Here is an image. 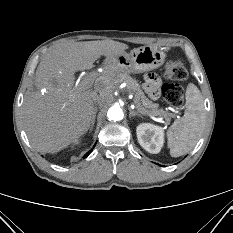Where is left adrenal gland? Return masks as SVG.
<instances>
[{
	"label": "left adrenal gland",
	"instance_id": "left-adrenal-gland-1",
	"mask_svg": "<svg viewBox=\"0 0 233 233\" xmlns=\"http://www.w3.org/2000/svg\"><path fill=\"white\" fill-rule=\"evenodd\" d=\"M134 116L142 117V114L139 111H134L129 107V118Z\"/></svg>",
	"mask_w": 233,
	"mask_h": 233
}]
</instances>
